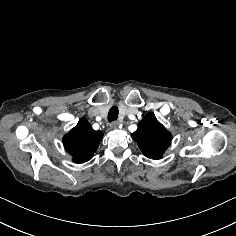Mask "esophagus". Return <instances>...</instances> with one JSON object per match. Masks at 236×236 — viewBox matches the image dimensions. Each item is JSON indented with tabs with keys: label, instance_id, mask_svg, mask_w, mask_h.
Listing matches in <instances>:
<instances>
[{
	"label": "esophagus",
	"instance_id": "esophagus-1",
	"mask_svg": "<svg viewBox=\"0 0 236 236\" xmlns=\"http://www.w3.org/2000/svg\"><path fill=\"white\" fill-rule=\"evenodd\" d=\"M118 126H119V121H114V122H112V123L110 124V127H111L112 129H117Z\"/></svg>",
	"mask_w": 236,
	"mask_h": 236
}]
</instances>
